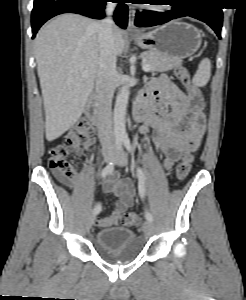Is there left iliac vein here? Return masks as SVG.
Masks as SVG:
<instances>
[{"label":"left iliac vein","mask_w":246,"mask_h":300,"mask_svg":"<svg viewBox=\"0 0 246 300\" xmlns=\"http://www.w3.org/2000/svg\"><path fill=\"white\" fill-rule=\"evenodd\" d=\"M127 164V156L124 152H121L118 160H117V165L118 166H124ZM154 231V225L152 221L146 220L143 224V232L145 235L150 236Z\"/></svg>","instance_id":"4c4485c4"}]
</instances>
